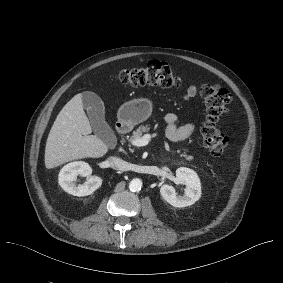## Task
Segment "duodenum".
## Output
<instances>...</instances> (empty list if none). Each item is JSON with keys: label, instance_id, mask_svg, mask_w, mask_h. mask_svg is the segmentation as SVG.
I'll list each match as a JSON object with an SVG mask.
<instances>
[{"label": "duodenum", "instance_id": "obj_1", "mask_svg": "<svg viewBox=\"0 0 283 283\" xmlns=\"http://www.w3.org/2000/svg\"><path fill=\"white\" fill-rule=\"evenodd\" d=\"M115 130L117 134L122 135L126 132L127 126L124 123L120 122L116 124Z\"/></svg>", "mask_w": 283, "mask_h": 283}]
</instances>
